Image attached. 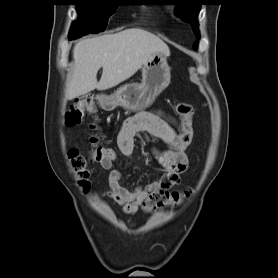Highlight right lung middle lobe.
I'll use <instances>...</instances> for the list:
<instances>
[{
  "instance_id": "1",
  "label": "right lung middle lobe",
  "mask_w": 278,
  "mask_h": 278,
  "mask_svg": "<svg viewBox=\"0 0 278 278\" xmlns=\"http://www.w3.org/2000/svg\"><path fill=\"white\" fill-rule=\"evenodd\" d=\"M78 19L73 23L69 39H77L88 33L104 31L108 18L117 10L121 0H73Z\"/></svg>"
}]
</instances>
